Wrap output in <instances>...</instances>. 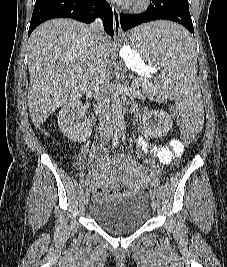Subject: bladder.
<instances>
[{
	"mask_svg": "<svg viewBox=\"0 0 227 267\" xmlns=\"http://www.w3.org/2000/svg\"><path fill=\"white\" fill-rule=\"evenodd\" d=\"M90 218L109 233L126 235L138 230L150 216L142 194L115 200H96Z\"/></svg>",
	"mask_w": 227,
	"mask_h": 267,
	"instance_id": "31cf9c89",
	"label": "bladder"
}]
</instances>
